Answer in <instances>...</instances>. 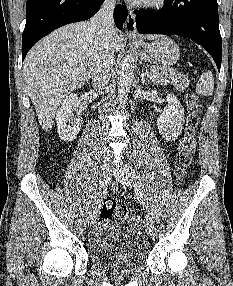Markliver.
I'll list each match as a JSON object with an SVG mask.
<instances>
[{
	"label": "liver",
	"mask_w": 233,
	"mask_h": 286,
	"mask_svg": "<svg viewBox=\"0 0 233 286\" xmlns=\"http://www.w3.org/2000/svg\"><path fill=\"white\" fill-rule=\"evenodd\" d=\"M96 37L91 21L73 23L46 36L27 54L25 87L45 132L52 129L61 101L91 78ZM111 42L114 50L121 49L122 37L114 26Z\"/></svg>",
	"instance_id": "obj_1"
}]
</instances>
